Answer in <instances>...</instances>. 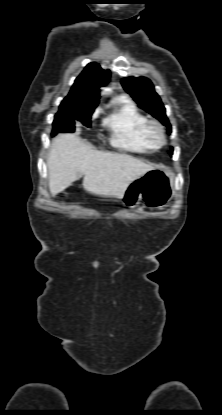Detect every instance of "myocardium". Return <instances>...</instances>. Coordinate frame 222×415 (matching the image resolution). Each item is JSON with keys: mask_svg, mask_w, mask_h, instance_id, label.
Instances as JSON below:
<instances>
[{"mask_svg": "<svg viewBox=\"0 0 222 415\" xmlns=\"http://www.w3.org/2000/svg\"><path fill=\"white\" fill-rule=\"evenodd\" d=\"M146 138L156 147H161L167 142L164 126L157 120H147L144 125Z\"/></svg>", "mask_w": 222, "mask_h": 415, "instance_id": "myocardium-1", "label": "myocardium"}]
</instances>
